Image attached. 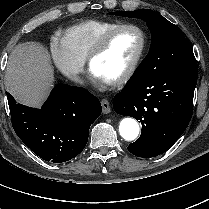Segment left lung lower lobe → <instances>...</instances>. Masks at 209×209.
<instances>
[{
	"instance_id": "1",
	"label": "left lung lower lobe",
	"mask_w": 209,
	"mask_h": 209,
	"mask_svg": "<svg viewBox=\"0 0 209 209\" xmlns=\"http://www.w3.org/2000/svg\"><path fill=\"white\" fill-rule=\"evenodd\" d=\"M196 83V62L159 76L132 75L113 100L116 113L141 122L139 139L127 147L132 154L155 157L179 139L192 116Z\"/></svg>"
}]
</instances>
